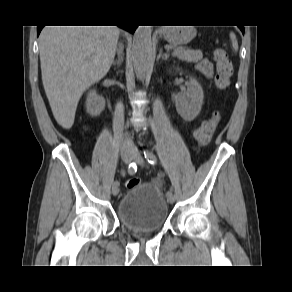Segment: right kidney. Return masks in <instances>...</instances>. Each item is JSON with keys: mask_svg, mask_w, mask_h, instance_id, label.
I'll use <instances>...</instances> for the list:
<instances>
[{"mask_svg": "<svg viewBox=\"0 0 292 292\" xmlns=\"http://www.w3.org/2000/svg\"><path fill=\"white\" fill-rule=\"evenodd\" d=\"M105 108V100L97 94L95 89H91L86 98V111L91 116H99Z\"/></svg>", "mask_w": 292, "mask_h": 292, "instance_id": "right-kidney-1", "label": "right kidney"}]
</instances>
